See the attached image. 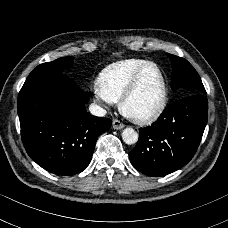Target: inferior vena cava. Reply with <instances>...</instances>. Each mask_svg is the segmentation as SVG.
<instances>
[{
    "instance_id": "602c4592",
    "label": "inferior vena cava",
    "mask_w": 228,
    "mask_h": 228,
    "mask_svg": "<svg viewBox=\"0 0 228 228\" xmlns=\"http://www.w3.org/2000/svg\"><path fill=\"white\" fill-rule=\"evenodd\" d=\"M89 110L91 112V114L95 115V116H98V117H103L106 115V110L99 107L98 105L96 104H91L89 106Z\"/></svg>"
}]
</instances>
